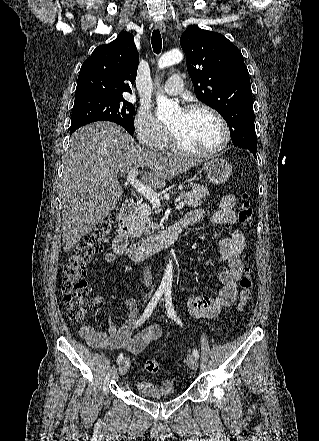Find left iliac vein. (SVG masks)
I'll use <instances>...</instances> for the list:
<instances>
[{"label": "left iliac vein", "mask_w": 319, "mask_h": 441, "mask_svg": "<svg viewBox=\"0 0 319 441\" xmlns=\"http://www.w3.org/2000/svg\"><path fill=\"white\" fill-rule=\"evenodd\" d=\"M187 364L192 370H197L198 368V361L193 355L187 356Z\"/></svg>", "instance_id": "left-iliac-vein-1"}]
</instances>
